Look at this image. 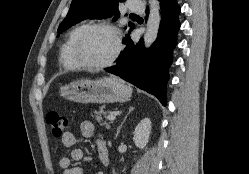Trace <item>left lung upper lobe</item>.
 <instances>
[{
  "label": "left lung upper lobe",
  "mask_w": 249,
  "mask_h": 174,
  "mask_svg": "<svg viewBox=\"0 0 249 174\" xmlns=\"http://www.w3.org/2000/svg\"><path fill=\"white\" fill-rule=\"evenodd\" d=\"M122 1L124 0H72L67 16L59 25L58 33H62L84 19H101L115 14L113 20H116L120 14L117 8L118 2ZM129 26L131 29L134 28L131 23Z\"/></svg>",
  "instance_id": "obj_1"
}]
</instances>
